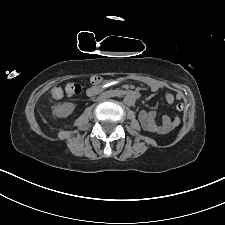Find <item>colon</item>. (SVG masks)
Returning <instances> with one entry per match:
<instances>
[{
    "instance_id": "obj_1",
    "label": "colon",
    "mask_w": 225,
    "mask_h": 225,
    "mask_svg": "<svg viewBox=\"0 0 225 225\" xmlns=\"http://www.w3.org/2000/svg\"><path fill=\"white\" fill-rule=\"evenodd\" d=\"M106 79L101 77V76H93L91 78V83L93 85H100L102 83H105ZM81 88L80 85L77 84L76 82H66L63 87L61 86H56L52 89L51 91V97L55 100H59L63 97L64 94L67 96H73L76 95L80 92ZM184 105L182 102L177 104V110L178 111H183Z\"/></svg>"
}]
</instances>
